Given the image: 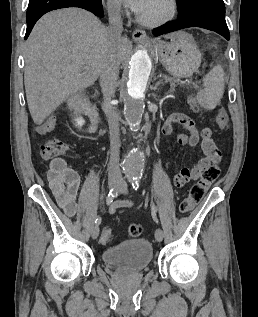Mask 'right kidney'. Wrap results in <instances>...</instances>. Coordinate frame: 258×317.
Here are the masks:
<instances>
[{
	"label": "right kidney",
	"mask_w": 258,
	"mask_h": 317,
	"mask_svg": "<svg viewBox=\"0 0 258 317\" xmlns=\"http://www.w3.org/2000/svg\"><path fill=\"white\" fill-rule=\"evenodd\" d=\"M74 120H75L76 126H83V124H85V120H84L83 116H76V118H74Z\"/></svg>",
	"instance_id": "right-kidney-1"
}]
</instances>
